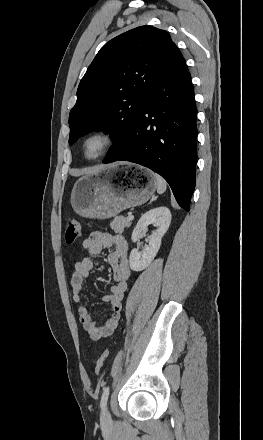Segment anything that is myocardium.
<instances>
[{
	"label": "myocardium",
	"mask_w": 263,
	"mask_h": 440,
	"mask_svg": "<svg viewBox=\"0 0 263 440\" xmlns=\"http://www.w3.org/2000/svg\"><path fill=\"white\" fill-rule=\"evenodd\" d=\"M92 139H98L101 143L99 151L95 155H88L86 152L87 144ZM114 137L113 135L104 129H95L88 132L80 142V154L85 161L92 162L104 157L113 147Z\"/></svg>",
	"instance_id": "obj_1"
}]
</instances>
